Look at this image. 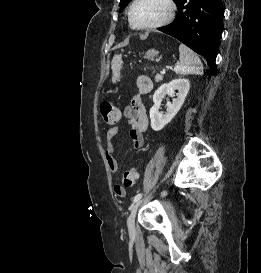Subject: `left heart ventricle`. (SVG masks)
I'll use <instances>...</instances> for the list:
<instances>
[{"label": "left heart ventricle", "mask_w": 261, "mask_h": 273, "mask_svg": "<svg viewBox=\"0 0 261 273\" xmlns=\"http://www.w3.org/2000/svg\"><path fill=\"white\" fill-rule=\"evenodd\" d=\"M166 12L162 0H139L133 9V21L138 26L148 25L161 19Z\"/></svg>", "instance_id": "b2bd125f"}]
</instances>
